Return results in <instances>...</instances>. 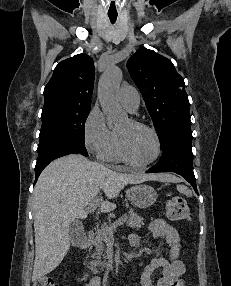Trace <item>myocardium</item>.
Returning <instances> with one entry per match:
<instances>
[{"instance_id": "f54148a6", "label": "myocardium", "mask_w": 231, "mask_h": 286, "mask_svg": "<svg viewBox=\"0 0 231 286\" xmlns=\"http://www.w3.org/2000/svg\"><path fill=\"white\" fill-rule=\"evenodd\" d=\"M129 122L133 126L145 129L146 131H148L152 135L154 142H155V153H154L153 157L151 159H149L148 161H146L144 163H136V162L132 161L130 158H128V156L125 154V152L122 148L121 142L119 140V137L115 133V150H116V153H117L119 159L122 162L126 163L127 165H129L133 168H136V169H145V168L149 167L150 165H152L154 162H156L157 159L159 158V156L161 155L162 145H161L160 137L154 128H152L151 126H149V125H147L141 121L131 119V120H129Z\"/></svg>"}]
</instances>
